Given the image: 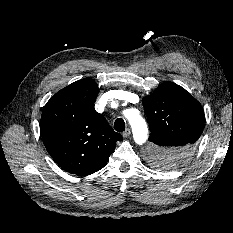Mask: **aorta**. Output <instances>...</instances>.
Returning <instances> with one entry per match:
<instances>
[{"label":"aorta","instance_id":"aorta-1","mask_svg":"<svg viewBox=\"0 0 233 233\" xmlns=\"http://www.w3.org/2000/svg\"><path fill=\"white\" fill-rule=\"evenodd\" d=\"M125 116L131 125L135 142L139 145L144 144L148 137V128L145 120L139 114H135L133 110H128Z\"/></svg>","mask_w":233,"mask_h":233}]
</instances>
